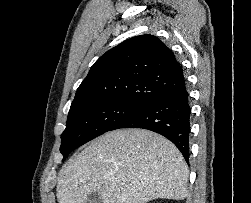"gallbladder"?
<instances>
[{
	"label": "gallbladder",
	"instance_id": "obj_1",
	"mask_svg": "<svg viewBox=\"0 0 251 203\" xmlns=\"http://www.w3.org/2000/svg\"><path fill=\"white\" fill-rule=\"evenodd\" d=\"M87 203H103V199L99 193L93 192L89 195Z\"/></svg>",
	"mask_w": 251,
	"mask_h": 203
}]
</instances>
